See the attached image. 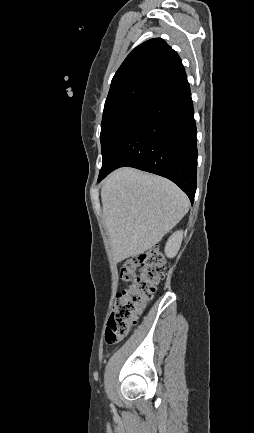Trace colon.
<instances>
[{"label":"colon","mask_w":254,"mask_h":433,"mask_svg":"<svg viewBox=\"0 0 254 433\" xmlns=\"http://www.w3.org/2000/svg\"><path fill=\"white\" fill-rule=\"evenodd\" d=\"M165 274L164 257L156 248L121 263L119 276L128 286L118 293L109 317L105 334L108 345L119 343L130 333Z\"/></svg>","instance_id":"5ec220e1"}]
</instances>
